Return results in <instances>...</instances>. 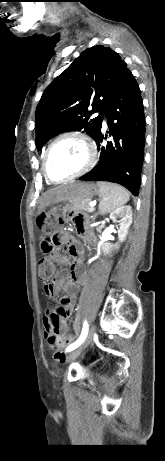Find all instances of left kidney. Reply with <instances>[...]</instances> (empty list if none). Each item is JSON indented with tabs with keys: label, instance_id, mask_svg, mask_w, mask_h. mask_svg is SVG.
Returning a JSON list of instances; mask_svg holds the SVG:
<instances>
[{
	"label": "left kidney",
	"instance_id": "left-kidney-1",
	"mask_svg": "<svg viewBox=\"0 0 165 461\" xmlns=\"http://www.w3.org/2000/svg\"><path fill=\"white\" fill-rule=\"evenodd\" d=\"M110 219L115 222L119 223V230H118V243H122L128 234V229L132 223V208L129 205L126 206H121L114 210L110 214ZM119 219V220H118ZM111 244L106 242V240H103L101 243V248L104 254H109L112 250L118 249L119 244Z\"/></svg>",
	"mask_w": 165,
	"mask_h": 461
}]
</instances>
